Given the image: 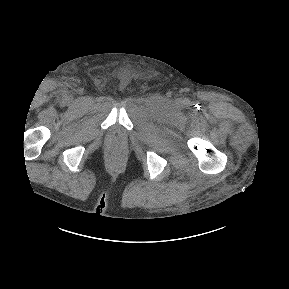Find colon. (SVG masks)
<instances>
[{
    "label": "colon",
    "instance_id": "obj_1",
    "mask_svg": "<svg viewBox=\"0 0 289 289\" xmlns=\"http://www.w3.org/2000/svg\"><path fill=\"white\" fill-rule=\"evenodd\" d=\"M118 156H119V153H118L117 151H114V152L112 153V157H113V158H118Z\"/></svg>",
    "mask_w": 289,
    "mask_h": 289
}]
</instances>
